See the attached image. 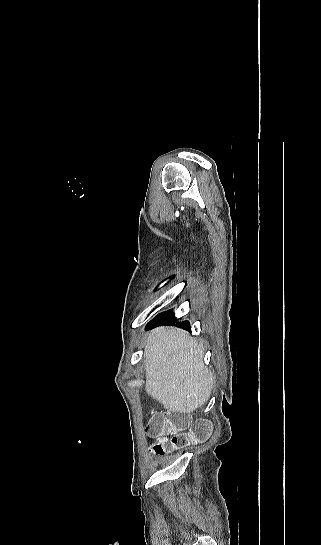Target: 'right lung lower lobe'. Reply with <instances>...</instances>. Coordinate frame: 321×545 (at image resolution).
<instances>
[{"mask_svg": "<svg viewBox=\"0 0 321 545\" xmlns=\"http://www.w3.org/2000/svg\"><path fill=\"white\" fill-rule=\"evenodd\" d=\"M175 323H176V318L173 315V310H169V311L158 314L152 321L148 323L147 326L151 328L158 325L175 324ZM178 326L187 330L190 329V325L188 321H183L181 323H178Z\"/></svg>", "mask_w": 321, "mask_h": 545, "instance_id": "right-lung-lower-lobe-1", "label": "right lung lower lobe"}]
</instances>
